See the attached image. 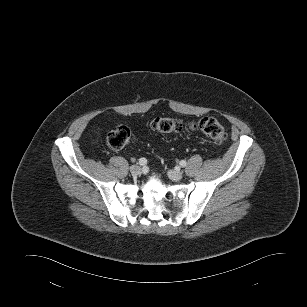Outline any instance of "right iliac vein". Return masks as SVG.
Returning <instances> with one entry per match:
<instances>
[{"mask_svg": "<svg viewBox=\"0 0 307 307\" xmlns=\"http://www.w3.org/2000/svg\"><path fill=\"white\" fill-rule=\"evenodd\" d=\"M130 173L132 176H138L141 173V168L138 165H132L130 167Z\"/></svg>", "mask_w": 307, "mask_h": 307, "instance_id": "obj_1", "label": "right iliac vein"}]
</instances>
